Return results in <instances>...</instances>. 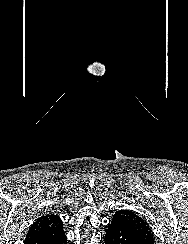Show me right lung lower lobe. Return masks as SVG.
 Returning a JSON list of instances; mask_svg holds the SVG:
<instances>
[{"label":"right lung lower lobe","instance_id":"1","mask_svg":"<svg viewBox=\"0 0 188 244\" xmlns=\"http://www.w3.org/2000/svg\"><path fill=\"white\" fill-rule=\"evenodd\" d=\"M24 244H67V238L63 226H59L27 240Z\"/></svg>","mask_w":188,"mask_h":244}]
</instances>
